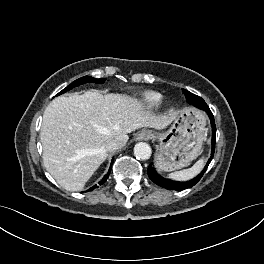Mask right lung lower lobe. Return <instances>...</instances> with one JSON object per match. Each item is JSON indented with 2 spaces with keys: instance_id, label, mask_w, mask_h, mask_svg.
<instances>
[{
  "instance_id": "obj_1",
  "label": "right lung lower lobe",
  "mask_w": 264,
  "mask_h": 264,
  "mask_svg": "<svg viewBox=\"0 0 264 264\" xmlns=\"http://www.w3.org/2000/svg\"><path fill=\"white\" fill-rule=\"evenodd\" d=\"M113 163V161H112ZM110 171H111V167L108 171V173L103 177V179L99 182V185H102L103 183H105V181L107 180V178L109 177V174H110ZM97 188V185L91 187L88 191H92L93 189Z\"/></svg>"
}]
</instances>
